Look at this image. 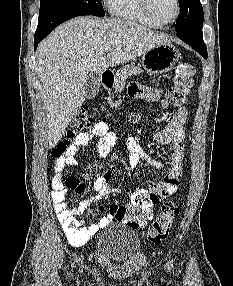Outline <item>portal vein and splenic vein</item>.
Instances as JSON below:
<instances>
[{
    "mask_svg": "<svg viewBox=\"0 0 233 286\" xmlns=\"http://www.w3.org/2000/svg\"><path fill=\"white\" fill-rule=\"evenodd\" d=\"M104 50H105L106 52H108V51L112 50V47H111V46H105Z\"/></svg>",
    "mask_w": 233,
    "mask_h": 286,
    "instance_id": "1",
    "label": "portal vein and splenic vein"
}]
</instances>
